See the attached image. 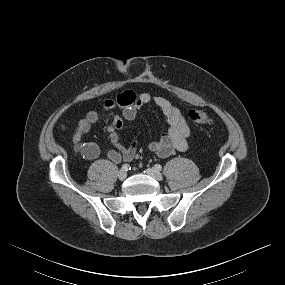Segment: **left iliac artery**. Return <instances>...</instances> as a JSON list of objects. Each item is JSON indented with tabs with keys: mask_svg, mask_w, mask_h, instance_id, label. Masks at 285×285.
<instances>
[{
	"mask_svg": "<svg viewBox=\"0 0 285 285\" xmlns=\"http://www.w3.org/2000/svg\"><path fill=\"white\" fill-rule=\"evenodd\" d=\"M154 168L158 171H161L162 170V166L160 164H155L154 165Z\"/></svg>",
	"mask_w": 285,
	"mask_h": 285,
	"instance_id": "obj_1",
	"label": "left iliac artery"
}]
</instances>
